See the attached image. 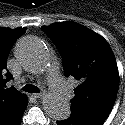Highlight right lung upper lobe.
Segmentation results:
<instances>
[{"instance_id": "cb5924a9", "label": "right lung upper lobe", "mask_w": 125, "mask_h": 125, "mask_svg": "<svg viewBox=\"0 0 125 125\" xmlns=\"http://www.w3.org/2000/svg\"><path fill=\"white\" fill-rule=\"evenodd\" d=\"M26 31L24 28H3L0 27V112L11 107L25 96L22 95L16 88L6 87V83L13 77L7 71V57L13 42L22 36Z\"/></svg>"}]
</instances>
